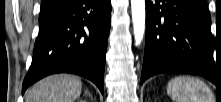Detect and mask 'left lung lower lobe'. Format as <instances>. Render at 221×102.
Wrapping results in <instances>:
<instances>
[{"label": "left lung lower lobe", "instance_id": "left-lung-lower-lobe-1", "mask_svg": "<svg viewBox=\"0 0 221 102\" xmlns=\"http://www.w3.org/2000/svg\"><path fill=\"white\" fill-rule=\"evenodd\" d=\"M205 0H146V42L141 83L159 73H188L217 85L221 67Z\"/></svg>", "mask_w": 221, "mask_h": 102}]
</instances>
